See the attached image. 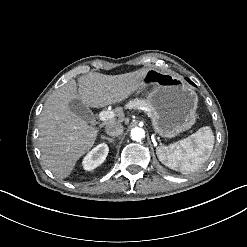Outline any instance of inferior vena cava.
<instances>
[{
	"label": "inferior vena cava",
	"instance_id": "obj_1",
	"mask_svg": "<svg viewBox=\"0 0 247 247\" xmlns=\"http://www.w3.org/2000/svg\"><path fill=\"white\" fill-rule=\"evenodd\" d=\"M105 131L109 136H119L123 134L124 128L121 123L112 122L106 125Z\"/></svg>",
	"mask_w": 247,
	"mask_h": 247
}]
</instances>
